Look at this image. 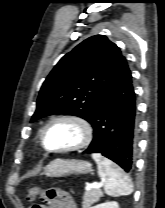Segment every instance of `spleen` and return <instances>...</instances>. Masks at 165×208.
<instances>
[{"label":"spleen","mask_w":165,"mask_h":208,"mask_svg":"<svg viewBox=\"0 0 165 208\" xmlns=\"http://www.w3.org/2000/svg\"><path fill=\"white\" fill-rule=\"evenodd\" d=\"M92 158L98 165V174L104 182V191L107 195L126 196L133 192L131 180L117 164L99 153H93Z\"/></svg>","instance_id":"obj_1"}]
</instances>
